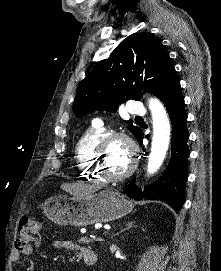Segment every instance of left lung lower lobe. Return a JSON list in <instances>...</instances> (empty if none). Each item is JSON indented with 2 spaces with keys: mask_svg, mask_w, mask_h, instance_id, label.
<instances>
[{
  "mask_svg": "<svg viewBox=\"0 0 221 271\" xmlns=\"http://www.w3.org/2000/svg\"><path fill=\"white\" fill-rule=\"evenodd\" d=\"M161 101L167 108L172 125L171 160L163 175L154 183L142 190L131 181L124 192L135 200L160 199L169 204L178 213L184 203V190L187 180V159L189 148L187 141L189 133L186 127L187 114L184 108V97L180 82H176L162 97ZM139 143L143 141V131L136 136ZM148 139L149 136L147 135Z\"/></svg>",
  "mask_w": 221,
  "mask_h": 271,
  "instance_id": "0a47b994",
  "label": "left lung lower lobe"
}]
</instances>
